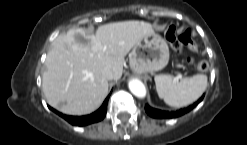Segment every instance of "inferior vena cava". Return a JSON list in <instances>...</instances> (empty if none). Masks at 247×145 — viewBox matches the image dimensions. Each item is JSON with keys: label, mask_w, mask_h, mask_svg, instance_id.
I'll use <instances>...</instances> for the list:
<instances>
[{"label": "inferior vena cava", "mask_w": 247, "mask_h": 145, "mask_svg": "<svg viewBox=\"0 0 247 145\" xmlns=\"http://www.w3.org/2000/svg\"><path fill=\"white\" fill-rule=\"evenodd\" d=\"M102 75L107 80H112L113 79V73H112V71L109 68H104L102 70Z\"/></svg>", "instance_id": "inferior-vena-cava-1"}]
</instances>
